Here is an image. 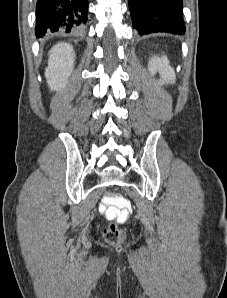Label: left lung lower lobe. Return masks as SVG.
<instances>
[{
    "label": "left lung lower lobe",
    "instance_id": "left-lung-lower-lobe-1",
    "mask_svg": "<svg viewBox=\"0 0 227 298\" xmlns=\"http://www.w3.org/2000/svg\"><path fill=\"white\" fill-rule=\"evenodd\" d=\"M133 28L140 35L153 32L185 34L182 0H128Z\"/></svg>",
    "mask_w": 227,
    "mask_h": 298
}]
</instances>
